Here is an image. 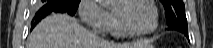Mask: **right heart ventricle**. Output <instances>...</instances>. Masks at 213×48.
Wrapping results in <instances>:
<instances>
[{"instance_id": "1", "label": "right heart ventricle", "mask_w": 213, "mask_h": 48, "mask_svg": "<svg viewBox=\"0 0 213 48\" xmlns=\"http://www.w3.org/2000/svg\"><path fill=\"white\" fill-rule=\"evenodd\" d=\"M111 16H112V20L109 24L108 32L114 37H118V38L127 37L128 35L124 33V31L120 27L114 11L111 12Z\"/></svg>"}]
</instances>
